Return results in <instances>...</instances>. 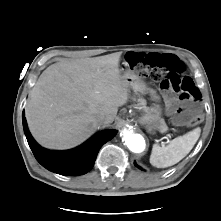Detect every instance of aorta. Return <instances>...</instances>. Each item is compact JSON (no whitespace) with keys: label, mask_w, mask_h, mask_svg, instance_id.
Instances as JSON below:
<instances>
[{"label":"aorta","mask_w":221,"mask_h":221,"mask_svg":"<svg viewBox=\"0 0 221 221\" xmlns=\"http://www.w3.org/2000/svg\"><path fill=\"white\" fill-rule=\"evenodd\" d=\"M123 139L127 147L135 153H140L145 149V140L142 135L133 132L132 130L122 131Z\"/></svg>","instance_id":"1"}]
</instances>
